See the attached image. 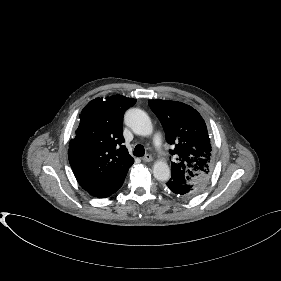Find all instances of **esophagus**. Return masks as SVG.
<instances>
[{
	"mask_svg": "<svg viewBox=\"0 0 281 281\" xmlns=\"http://www.w3.org/2000/svg\"><path fill=\"white\" fill-rule=\"evenodd\" d=\"M152 160L153 158L150 154H146L144 157H142L143 162H151Z\"/></svg>",
	"mask_w": 281,
	"mask_h": 281,
	"instance_id": "34e87169",
	"label": "esophagus"
}]
</instances>
